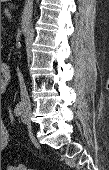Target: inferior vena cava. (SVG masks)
Returning a JSON list of instances; mask_svg holds the SVG:
<instances>
[{
	"mask_svg": "<svg viewBox=\"0 0 109 170\" xmlns=\"http://www.w3.org/2000/svg\"><path fill=\"white\" fill-rule=\"evenodd\" d=\"M18 79H19V85H20V95H21V103L26 109L31 108V103L29 99V95L26 89V85L24 83L23 76L19 69H17Z\"/></svg>",
	"mask_w": 109,
	"mask_h": 170,
	"instance_id": "602c4592",
	"label": "inferior vena cava"
}]
</instances>
